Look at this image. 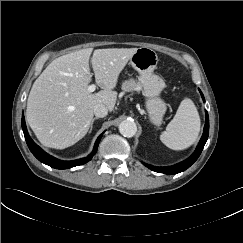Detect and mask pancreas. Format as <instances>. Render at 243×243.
<instances>
[{"label":"pancreas","mask_w":243,"mask_h":243,"mask_svg":"<svg viewBox=\"0 0 243 243\" xmlns=\"http://www.w3.org/2000/svg\"><path fill=\"white\" fill-rule=\"evenodd\" d=\"M122 90L124 92H133L136 91L137 93L140 92V90L142 89V86L139 82H137L136 80H134L133 78L130 80H127L125 82L122 83Z\"/></svg>","instance_id":"1"}]
</instances>
